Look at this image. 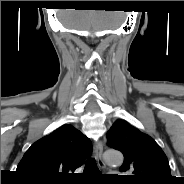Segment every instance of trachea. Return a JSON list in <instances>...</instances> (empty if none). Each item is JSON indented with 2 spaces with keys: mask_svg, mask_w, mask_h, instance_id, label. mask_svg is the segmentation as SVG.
Wrapping results in <instances>:
<instances>
[{
  "mask_svg": "<svg viewBox=\"0 0 184 184\" xmlns=\"http://www.w3.org/2000/svg\"><path fill=\"white\" fill-rule=\"evenodd\" d=\"M84 171L91 174L99 173V169L97 167L95 159H89L88 161H86Z\"/></svg>",
  "mask_w": 184,
  "mask_h": 184,
  "instance_id": "obj_1",
  "label": "trachea"
}]
</instances>
